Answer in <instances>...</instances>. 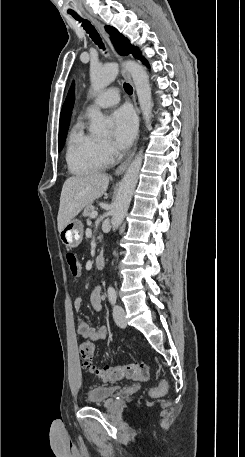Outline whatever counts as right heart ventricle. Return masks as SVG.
I'll return each instance as SVG.
<instances>
[{"label":"right heart ventricle","mask_w":245,"mask_h":457,"mask_svg":"<svg viewBox=\"0 0 245 457\" xmlns=\"http://www.w3.org/2000/svg\"><path fill=\"white\" fill-rule=\"evenodd\" d=\"M68 159L73 169L83 171L103 169L109 163L100 149V141L80 122L74 123L69 132Z\"/></svg>","instance_id":"obj_1"}]
</instances>
